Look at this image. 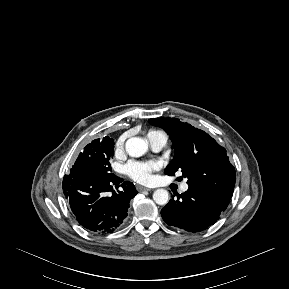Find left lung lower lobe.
<instances>
[{"instance_id": "obj_1", "label": "left lung lower lobe", "mask_w": 289, "mask_h": 289, "mask_svg": "<svg viewBox=\"0 0 289 289\" xmlns=\"http://www.w3.org/2000/svg\"><path fill=\"white\" fill-rule=\"evenodd\" d=\"M176 196L161 210L162 218L169 226L189 232H200L215 224L230 203L224 197L190 187Z\"/></svg>"}]
</instances>
